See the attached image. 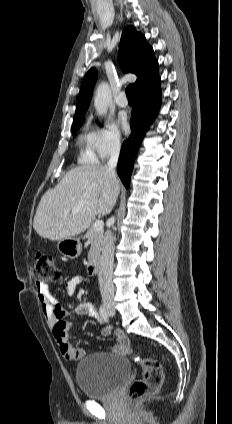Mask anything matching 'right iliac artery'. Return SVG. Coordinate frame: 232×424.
Segmentation results:
<instances>
[{
  "mask_svg": "<svg viewBox=\"0 0 232 424\" xmlns=\"http://www.w3.org/2000/svg\"><path fill=\"white\" fill-rule=\"evenodd\" d=\"M99 313H100V316L102 317V319H103L105 322H109L108 313H107L106 308H105V306H104V305H101V306H100Z\"/></svg>",
  "mask_w": 232,
  "mask_h": 424,
  "instance_id": "right-iliac-artery-1",
  "label": "right iliac artery"
}]
</instances>
